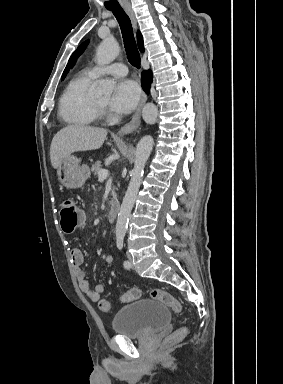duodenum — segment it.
<instances>
[{
    "label": "duodenum",
    "instance_id": "410a0bca",
    "mask_svg": "<svg viewBox=\"0 0 283 384\" xmlns=\"http://www.w3.org/2000/svg\"><path fill=\"white\" fill-rule=\"evenodd\" d=\"M119 210H120V206L117 202H115L107 214L109 222L114 223L117 220Z\"/></svg>",
    "mask_w": 283,
    "mask_h": 384
}]
</instances>
